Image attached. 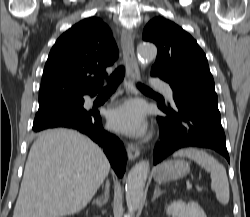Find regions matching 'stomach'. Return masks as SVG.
I'll return each instance as SVG.
<instances>
[{
  "instance_id": "obj_1",
  "label": "stomach",
  "mask_w": 250,
  "mask_h": 217,
  "mask_svg": "<svg viewBox=\"0 0 250 217\" xmlns=\"http://www.w3.org/2000/svg\"><path fill=\"white\" fill-rule=\"evenodd\" d=\"M190 172L189 164L184 160H169L160 164L154 171L157 183H165L185 177Z\"/></svg>"
}]
</instances>
